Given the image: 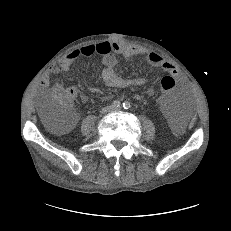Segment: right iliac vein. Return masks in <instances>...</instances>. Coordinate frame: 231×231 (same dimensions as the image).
Returning a JSON list of instances; mask_svg holds the SVG:
<instances>
[{"label": "right iliac vein", "mask_w": 231, "mask_h": 231, "mask_svg": "<svg viewBox=\"0 0 231 231\" xmlns=\"http://www.w3.org/2000/svg\"><path fill=\"white\" fill-rule=\"evenodd\" d=\"M109 111H112V107L111 106H106V107L102 108L101 113L106 114Z\"/></svg>", "instance_id": "1"}]
</instances>
